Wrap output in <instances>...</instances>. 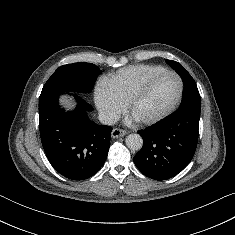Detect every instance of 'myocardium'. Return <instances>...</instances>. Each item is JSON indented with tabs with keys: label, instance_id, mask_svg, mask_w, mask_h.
I'll use <instances>...</instances> for the list:
<instances>
[{
	"label": "myocardium",
	"instance_id": "obj_1",
	"mask_svg": "<svg viewBox=\"0 0 235 235\" xmlns=\"http://www.w3.org/2000/svg\"><path fill=\"white\" fill-rule=\"evenodd\" d=\"M163 76H172L174 78L177 79L178 84H179V90L177 93V96L175 98V100L173 101V103L161 114L153 117V118H149V119H134L132 116V111L134 109V107L136 106V104L146 95V93L148 92L151 84L157 80L160 77ZM183 92H184V83L183 80L181 79V77L173 72V71H169V70H165L159 73H156L152 76H150L143 84L142 86L133 94V96L128 100L127 104H126V114L128 115V117L137 125L139 126H151L154 124H157L159 122H161L162 120H164L165 118H167L169 115H171L176 108L179 106L182 96H183Z\"/></svg>",
	"mask_w": 235,
	"mask_h": 235
}]
</instances>
